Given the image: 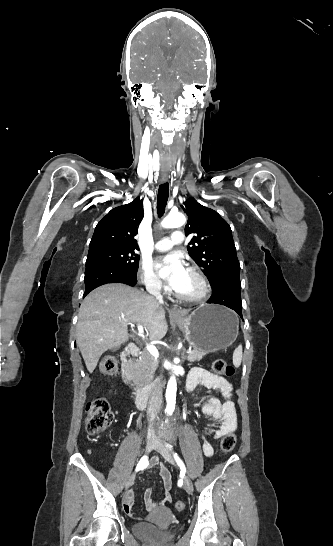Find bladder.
I'll list each match as a JSON object with an SVG mask.
<instances>
[{"instance_id": "bladder-1", "label": "bladder", "mask_w": 333, "mask_h": 546, "mask_svg": "<svg viewBox=\"0 0 333 546\" xmlns=\"http://www.w3.org/2000/svg\"><path fill=\"white\" fill-rule=\"evenodd\" d=\"M133 533L145 540L165 541L173 537L172 530L162 529L151 523H136L132 527Z\"/></svg>"}]
</instances>
